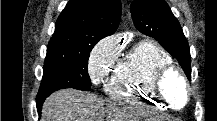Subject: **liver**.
<instances>
[{
	"label": "liver",
	"mask_w": 217,
	"mask_h": 121,
	"mask_svg": "<svg viewBox=\"0 0 217 121\" xmlns=\"http://www.w3.org/2000/svg\"><path fill=\"white\" fill-rule=\"evenodd\" d=\"M139 111L120 107L74 89L50 95L43 104L41 121H135Z\"/></svg>",
	"instance_id": "obj_1"
}]
</instances>
